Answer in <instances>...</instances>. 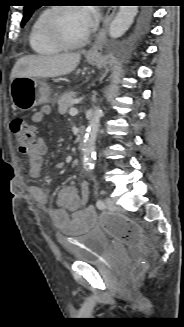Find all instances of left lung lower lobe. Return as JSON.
<instances>
[{"label":"left lung lower lobe","mask_w":184,"mask_h":327,"mask_svg":"<svg viewBox=\"0 0 184 327\" xmlns=\"http://www.w3.org/2000/svg\"><path fill=\"white\" fill-rule=\"evenodd\" d=\"M151 15H152V12H150V11H147L145 14H144V16H143V26H147V24H148V21H149V19H150V17H151ZM131 42H132V39L130 38V39H128L127 41H125L122 45H121V47H123V48H131Z\"/></svg>","instance_id":"0a47b994"}]
</instances>
